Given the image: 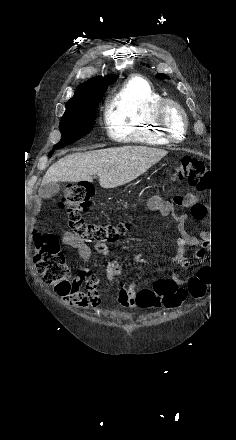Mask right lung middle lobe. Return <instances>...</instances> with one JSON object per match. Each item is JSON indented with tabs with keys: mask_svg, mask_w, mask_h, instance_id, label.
Masks as SVG:
<instances>
[{
	"mask_svg": "<svg viewBox=\"0 0 236 440\" xmlns=\"http://www.w3.org/2000/svg\"><path fill=\"white\" fill-rule=\"evenodd\" d=\"M102 96L101 94L66 104V111L60 121L61 140L52 151L63 148L90 132L95 124L96 108Z\"/></svg>",
	"mask_w": 236,
	"mask_h": 440,
	"instance_id": "right-lung-middle-lobe-1",
	"label": "right lung middle lobe"
}]
</instances>
